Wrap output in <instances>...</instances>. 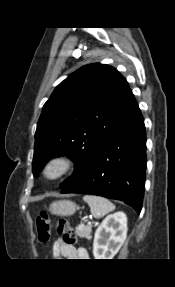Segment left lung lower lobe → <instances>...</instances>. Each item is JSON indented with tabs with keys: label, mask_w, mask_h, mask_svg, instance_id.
Wrapping results in <instances>:
<instances>
[{
	"label": "left lung lower lobe",
	"mask_w": 175,
	"mask_h": 287,
	"mask_svg": "<svg viewBox=\"0 0 175 287\" xmlns=\"http://www.w3.org/2000/svg\"><path fill=\"white\" fill-rule=\"evenodd\" d=\"M146 170V133L138 107L96 150L93 161L61 193L93 194L123 201L138 213L142 208Z\"/></svg>",
	"instance_id": "obj_1"
}]
</instances>
